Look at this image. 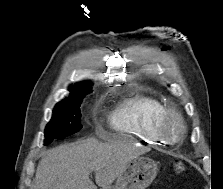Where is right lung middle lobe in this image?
<instances>
[{"label": "right lung middle lobe", "instance_id": "right-lung-middle-lobe-1", "mask_svg": "<svg viewBox=\"0 0 223 189\" xmlns=\"http://www.w3.org/2000/svg\"><path fill=\"white\" fill-rule=\"evenodd\" d=\"M90 92L69 96L55 106L52 119L45 128L44 145L54 139L70 136L82 128L80 106L83 98Z\"/></svg>", "mask_w": 223, "mask_h": 189}]
</instances>
